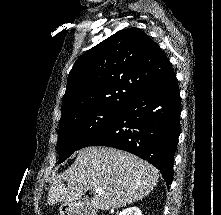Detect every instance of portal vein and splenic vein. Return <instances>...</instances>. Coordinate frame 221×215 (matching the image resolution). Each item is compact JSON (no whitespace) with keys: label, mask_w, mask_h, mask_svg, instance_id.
I'll use <instances>...</instances> for the list:
<instances>
[{"label":"portal vein and splenic vein","mask_w":221,"mask_h":215,"mask_svg":"<svg viewBox=\"0 0 221 215\" xmlns=\"http://www.w3.org/2000/svg\"><path fill=\"white\" fill-rule=\"evenodd\" d=\"M101 192H102L101 188L97 189V193H101Z\"/></svg>","instance_id":"18ae733b"}]
</instances>
